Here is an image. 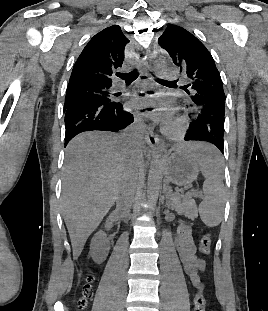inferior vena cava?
<instances>
[{"label": "inferior vena cava", "mask_w": 268, "mask_h": 311, "mask_svg": "<svg viewBox=\"0 0 268 311\" xmlns=\"http://www.w3.org/2000/svg\"><path fill=\"white\" fill-rule=\"evenodd\" d=\"M127 142L132 146L131 151L135 153L138 151V148L135 147V142L129 137L126 136ZM136 170H137V161L135 160L134 166L129 170L126 178L121 184L117 206L119 212L123 217H127L130 213L133 198L136 191Z\"/></svg>", "instance_id": "602c4592"}]
</instances>
